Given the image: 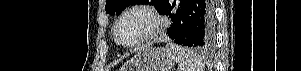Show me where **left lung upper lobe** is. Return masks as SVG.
I'll use <instances>...</instances> for the list:
<instances>
[{"mask_svg":"<svg viewBox=\"0 0 301 71\" xmlns=\"http://www.w3.org/2000/svg\"><path fill=\"white\" fill-rule=\"evenodd\" d=\"M149 2V4H155V6L161 11L167 0H107L105 10L108 14L119 15L127 6L136 2Z\"/></svg>","mask_w":301,"mask_h":71,"instance_id":"5c2ea615","label":"left lung upper lobe"}]
</instances>
